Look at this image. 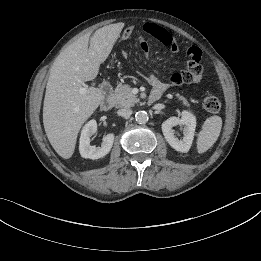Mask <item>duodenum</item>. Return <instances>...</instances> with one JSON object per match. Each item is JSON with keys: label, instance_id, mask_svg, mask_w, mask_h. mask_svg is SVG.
Listing matches in <instances>:
<instances>
[{"label": "duodenum", "instance_id": "1", "mask_svg": "<svg viewBox=\"0 0 261 261\" xmlns=\"http://www.w3.org/2000/svg\"><path fill=\"white\" fill-rule=\"evenodd\" d=\"M113 87L110 82L104 81L102 84V93L104 98L101 102V109L103 111H108L114 106V99L112 96ZM161 96V93L152 91V93L148 97V103L152 104L156 102Z\"/></svg>", "mask_w": 261, "mask_h": 261}]
</instances>
